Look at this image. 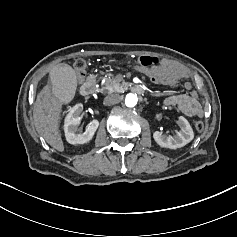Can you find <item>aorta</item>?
<instances>
[{
    "label": "aorta",
    "instance_id": "1",
    "mask_svg": "<svg viewBox=\"0 0 237 237\" xmlns=\"http://www.w3.org/2000/svg\"><path fill=\"white\" fill-rule=\"evenodd\" d=\"M138 98L136 95L129 93L126 95L125 104L128 107H134L137 104Z\"/></svg>",
    "mask_w": 237,
    "mask_h": 237
}]
</instances>
